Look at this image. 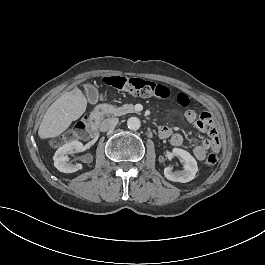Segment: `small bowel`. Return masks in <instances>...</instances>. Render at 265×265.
<instances>
[{
  "mask_svg": "<svg viewBox=\"0 0 265 265\" xmlns=\"http://www.w3.org/2000/svg\"><path fill=\"white\" fill-rule=\"evenodd\" d=\"M185 116L190 123H195L197 129H199L201 132L207 133L209 138L202 141H198L196 139L186 140L181 134L175 133L171 127L165 125L159 128V136L163 139H169L171 145L174 147H180L184 144L192 146L195 157L200 161H204L208 156L209 151L218 152L220 148L218 132L213 118L211 116V121L208 123L209 129H206L205 127H202L199 124L200 117L199 120H197V115L195 111L189 110L187 111Z\"/></svg>",
  "mask_w": 265,
  "mask_h": 265,
  "instance_id": "small-bowel-1",
  "label": "small bowel"
}]
</instances>
